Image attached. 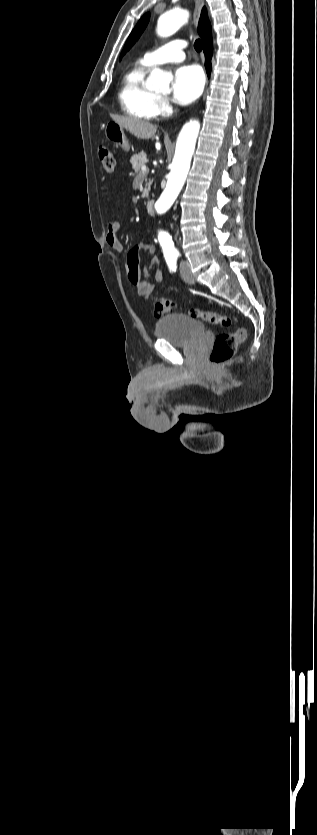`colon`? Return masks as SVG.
<instances>
[{"label":"colon","instance_id":"1","mask_svg":"<svg viewBox=\"0 0 317 835\" xmlns=\"http://www.w3.org/2000/svg\"><path fill=\"white\" fill-rule=\"evenodd\" d=\"M98 154L104 171H106L107 173H112L116 164L114 153L107 147L101 146L99 148ZM174 309L175 305L171 300L164 298H156L154 300V314L156 316L173 312ZM189 314L193 318L200 319L210 324L221 325L223 327H228L232 324V320L230 317L223 314H219L217 312L202 311L196 308H192ZM246 336L247 332L246 329L243 327L238 328L233 333L218 334L214 339L211 351L209 353V365L212 367H217L226 362L229 358L233 356L237 345L244 341Z\"/></svg>","mask_w":317,"mask_h":835}]
</instances>
